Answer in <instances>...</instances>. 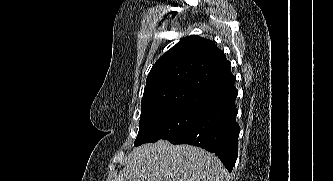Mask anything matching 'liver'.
Here are the masks:
<instances>
[{
  "instance_id": "obj_1",
  "label": "liver",
  "mask_w": 333,
  "mask_h": 181,
  "mask_svg": "<svg viewBox=\"0 0 333 181\" xmlns=\"http://www.w3.org/2000/svg\"><path fill=\"white\" fill-rule=\"evenodd\" d=\"M225 175L214 154L159 140L133 149L114 181H224Z\"/></svg>"
}]
</instances>
